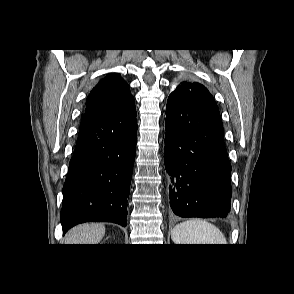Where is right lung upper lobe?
<instances>
[{
	"label": "right lung upper lobe",
	"mask_w": 294,
	"mask_h": 294,
	"mask_svg": "<svg viewBox=\"0 0 294 294\" xmlns=\"http://www.w3.org/2000/svg\"><path fill=\"white\" fill-rule=\"evenodd\" d=\"M131 99L133 97L128 84L118 74H110L91 91L87 98L85 114L109 112Z\"/></svg>",
	"instance_id": "obj_1"
}]
</instances>
